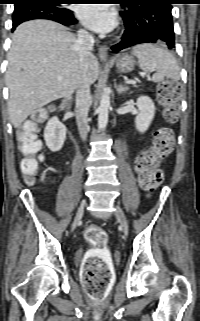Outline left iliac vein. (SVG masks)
<instances>
[{
	"label": "left iliac vein",
	"mask_w": 200,
	"mask_h": 321,
	"mask_svg": "<svg viewBox=\"0 0 200 321\" xmlns=\"http://www.w3.org/2000/svg\"><path fill=\"white\" fill-rule=\"evenodd\" d=\"M115 216L118 219L123 231L126 232L128 230V221H127L126 215L124 214L123 210L119 206H116Z\"/></svg>",
	"instance_id": "obj_1"
}]
</instances>
